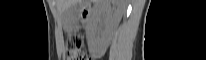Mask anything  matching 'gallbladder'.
<instances>
[{"label":"gallbladder","mask_w":206,"mask_h":60,"mask_svg":"<svg viewBox=\"0 0 206 60\" xmlns=\"http://www.w3.org/2000/svg\"><path fill=\"white\" fill-rule=\"evenodd\" d=\"M80 7L78 3H74L65 9L62 13V23L64 28L70 29L79 21Z\"/></svg>","instance_id":"bac80fb5"}]
</instances>
